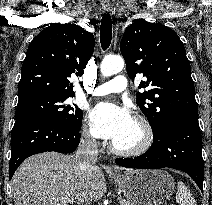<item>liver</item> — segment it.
Wrapping results in <instances>:
<instances>
[{"mask_svg": "<svg viewBox=\"0 0 212 205\" xmlns=\"http://www.w3.org/2000/svg\"><path fill=\"white\" fill-rule=\"evenodd\" d=\"M122 170L129 171L126 168ZM15 205H87L106 192V181L99 166L81 173L74 157L44 152L27 158L12 178Z\"/></svg>", "mask_w": 212, "mask_h": 205, "instance_id": "6515ba94", "label": "liver"}]
</instances>
